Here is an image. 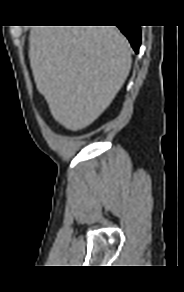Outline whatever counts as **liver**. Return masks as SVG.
I'll return each mask as SVG.
<instances>
[{"mask_svg": "<svg viewBox=\"0 0 184 292\" xmlns=\"http://www.w3.org/2000/svg\"><path fill=\"white\" fill-rule=\"evenodd\" d=\"M29 58L52 116L72 131L105 111L132 64L130 44L115 26H36Z\"/></svg>", "mask_w": 184, "mask_h": 292, "instance_id": "1", "label": "liver"}]
</instances>
